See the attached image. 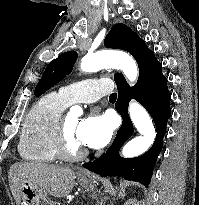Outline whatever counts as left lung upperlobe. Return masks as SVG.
Returning <instances> with one entry per match:
<instances>
[{
    "mask_svg": "<svg viewBox=\"0 0 199 205\" xmlns=\"http://www.w3.org/2000/svg\"><path fill=\"white\" fill-rule=\"evenodd\" d=\"M136 33L124 24H116L107 34L104 45L107 48L122 49L127 51L130 43L136 37ZM77 59L75 51L61 54L46 67L42 78L38 82L34 94L40 96L49 88L60 82L66 75L70 74ZM120 73H115L114 79Z\"/></svg>",
    "mask_w": 199,
    "mask_h": 205,
    "instance_id": "1",
    "label": "left lung upper lobe"
}]
</instances>
